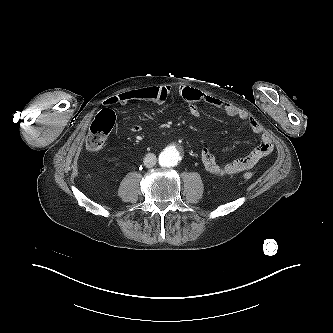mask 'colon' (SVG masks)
Segmentation results:
<instances>
[{"label":"colon","mask_w":333,"mask_h":333,"mask_svg":"<svg viewBox=\"0 0 333 333\" xmlns=\"http://www.w3.org/2000/svg\"><path fill=\"white\" fill-rule=\"evenodd\" d=\"M115 122V115L112 110L104 109L100 111L92 122L86 140L87 150L96 153L99 152L106 141ZM251 172H245L243 178L245 180L252 179Z\"/></svg>","instance_id":"5ec220e1"}]
</instances>
